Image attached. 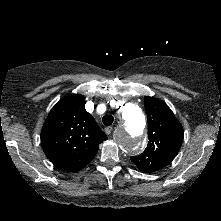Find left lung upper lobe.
I'll return each mask as SVG.
<instances>
[{"label":"left lung upper lobe","instance_id":"1","mask_svg":"<svg viewBox=\"0 0 221 221\" xmlns=\"http://www.w3.org/2000/svg\"><path fill=\"white\" fill-rule=\"evenodd\" d=\"M148 118V144L131 161L144 172H153L169 164L178 153L184 131L170 108L161 100L145 97Z\"/></svg>","mask_w":221,"mask_h":221}]
</instances>
